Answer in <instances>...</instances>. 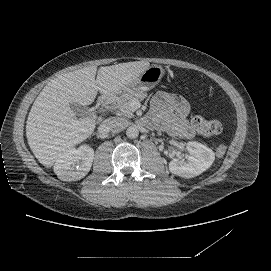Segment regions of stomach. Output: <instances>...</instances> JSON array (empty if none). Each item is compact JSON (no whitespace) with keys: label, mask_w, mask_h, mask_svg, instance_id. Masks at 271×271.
<instances>
[{"label":"stomach","mask_w":271,"mask_h":271,"mask_svg":"<svg viewBox=\"0 0 271 271\" xmlns=\"http://www.w3.org/2000/svg\"><path fill=\"white\" fill-rule=\"evenodd\" d=\"M165 71V68L162 66H150L136 80L125 86L122 91L112 95L115 99H121L128 94L145 93L160 82Z\"/></svg>","instance_id":"0dacf381"}]
</instances>
